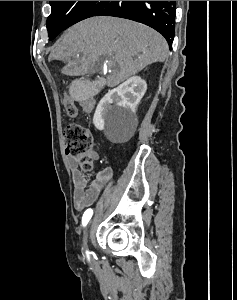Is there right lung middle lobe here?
I'll return each mask as SVG.
<instances>
[{
  "label": "right lung middle lobe",
  "mask_w": 237,
  "mask_h": 300,
  "mask_svg": "<svg viewBox=\"0 0 237 300\" xmlns=\"http://www.w3.org/2000/svg\"><path fill=\"white\" fill-rule=\"evenodd\" d=\"M51 14L47 18L49 39L53 40L60 32L73 24L92 17L105 1H49Z\"/></svg>",
  "instance_id": "1"
}]
</instances>
